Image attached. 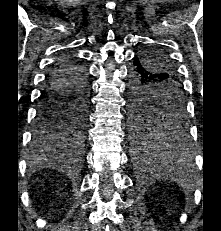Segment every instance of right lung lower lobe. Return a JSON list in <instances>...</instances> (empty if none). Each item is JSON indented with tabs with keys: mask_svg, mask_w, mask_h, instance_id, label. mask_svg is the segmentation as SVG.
<instances>
[{
	"mask_svg": "<svg viewBox=\"0 0 221 231\" xmlns=\"http://www.w3.org/2000/svg\"><path fill=\"white\" fill-rule=\"evenodd\" d=\"M88 92V77L83 64L70 56L59 58L49 71L46 86L41 95L37 120L33 131V144L35 148L49 149L54 145V143L38 139V134L44 128L46 119L44 112L47 106L60 104L80 96L88 99Z\"/></svg>",
	"mask_w": 221,
	"mask_h": 231,
	"instance_id": "1",
	"label": "right lung lower lobe"
}]
</instances>
